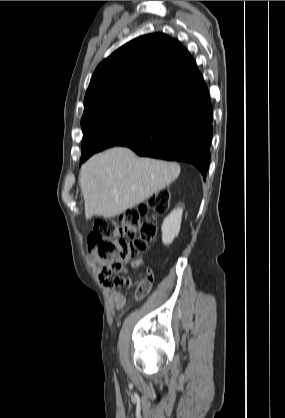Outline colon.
I'll return each mask as SVG.
<instances>
[{
  "label": "colon",
  "instance_id": "5ec220e1",
  "mask_svg": "<svg viewBox=\"0 0 285 418\" xmlns=\"http://www.w3.org/2000/svg\"><path fill=\"white\" fill-rule=\"evenodd\" d=\"M168 190H160L140 204L125 211L118 219H98L87 237V252L99 260L101 267L98 281L106 286H118L120 276L126 271L131 259H136L148 248L157 228L144 218L149 214L159 216L169 207ZM148 287L140 281L136 286V296L143 298Z\"/></svg>",
  "mask_w": 285,
  "mask_h": 418
}]
</instances>
